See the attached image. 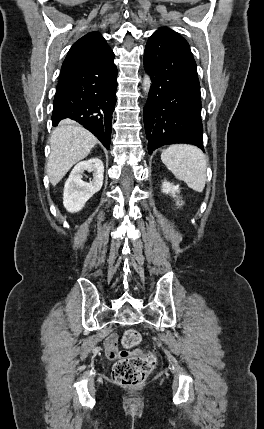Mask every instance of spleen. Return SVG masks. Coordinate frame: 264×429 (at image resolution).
Instances as JSON below:
<instances>
[{
    "instance_id": "spleen-1",
    "label": "spleen",
    "mask_w": 264,
    "mask_h": 429,
    "mask_svg": "<svg viewBox=\"0 0 264 429\" xmlns=\"http://www.w3.org/2000/svg\"><path fill=\"white\" fill-rule=\"evenodd\" d=\"M163 164L178 180L184 181L189 188L202 192L206 184L207 161L204 153L196 146L174 144L161 154Z\"/></svg>"
}]
</instances>
